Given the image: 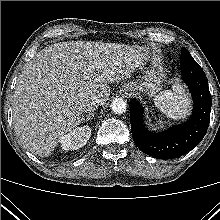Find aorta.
Returning <instances> with one entry per match:
<instances>
[{"label": "aorta", "instance_id": "aorta-1", "mask_svg": "<svg viewBox=\"0 0 220 220\" xmlns=\"http://www.w3.org/2000/svg\"><path fill=\"white\" fill-rule=\"evenodd\" d=\"M127 104L122 98H115L111 103V109L115 114L126 112Z\"/></svg>", "mask_w": 220, "mask_h": 220}]
</instances>
